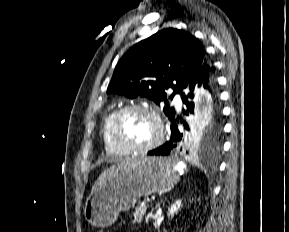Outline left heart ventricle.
I'll return each instance as SVG.
<instances>
[{"label": "left heart ventricle", "mask_w": 289, "mask_h": 232, "mask_svg": "<svg viewBox=\"0 0 289 232\" xmlns=\"http://www.w3.org/2000/svg\"><path fill=\"white\" fill-rule=\"evenodd\" d=\"M158 128L154 118L142 111H131L124 115L120 124L122 140L134 146H145L157 136Z\"/></svg>", "instance_id": "1"}]
</instances>
